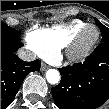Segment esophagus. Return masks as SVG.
Segmentation results:
<instances>
[{
    "label": "esophagus",
    "mask_w": 109,
    "mask_h": 109,
    "mask_svg": "<svg viewBox=\"0 0 109 109\" xmlns=\"http://www.w3.org/2000/svg\"><path fill=\"white\" fill-rule=\"evenodd\" d=\"M41 71H45V70H47L48 69V65H46L45 63H42V65H41Z\"/></svg>",
    "instance_id": "34e87169"
}]
</instances>
